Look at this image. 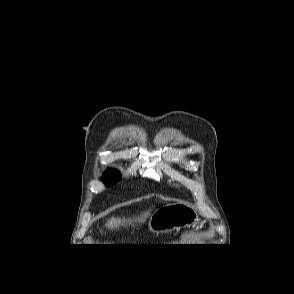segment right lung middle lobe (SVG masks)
<instances>
[{
    "instance_id": "obj_1",
    "label": "right lung middle lobe",
    "mask_w": 294,
    "mask_h": 294,
    "mask_svg": "<svg viewBox=\"0 0 294 294\" xmlns=\"http://www.w3.org/2000/svg\"><path fill=\"white\" fill-rule=\"evenodd\" d=\"M119 178H120V175L117 170L108 169L103 174L102 180L107 186H110V185H113L114 183H116L119 180Z\"/></svg>"
}]
</instances>
